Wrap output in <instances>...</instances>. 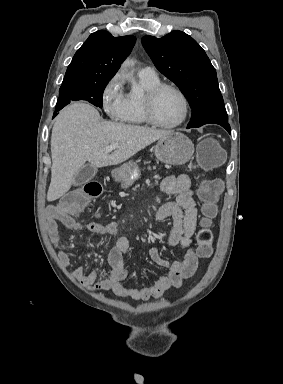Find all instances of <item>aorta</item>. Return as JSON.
I'll use <instances>...</instances> for the list:
<instances>
[{"label": "aorta", "mask_w": 283, "mask_h": 384, "mask_svg": "<svg viewBox=\"0 0 283 384\" xmlns=\"http://www.w3.org/2000/svg\"><path fill=\"white\" fill-rule=\"evenodd\" d=\"M128 64H130V61H129V60H127V61L124 63L125 66H127Z\"/></svg>", "instance_id": "obj_1"}]
</instances>
